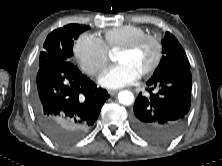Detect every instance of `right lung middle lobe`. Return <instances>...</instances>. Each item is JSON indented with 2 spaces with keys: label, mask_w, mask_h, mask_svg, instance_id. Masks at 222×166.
Segmentation results:
<instances>
[{
  "label": "right lung middle lobe",
  "mask_w": 222,
  "mask_h": 166,
  "mask_svg": "<svg viewBox=\"0 0 222 166\" xmlns=\"http://www.w3.org/2000/svg\"><path fill=\"white\" fill-rule=\"evenodd\" d=\"M88 29L89 26L86 25L69 24L51 32L40 53L39 67L55 62L70 61L73 55L74 41Z\"/></svg>",
  "instance_id": "1"
}]
</instances>
